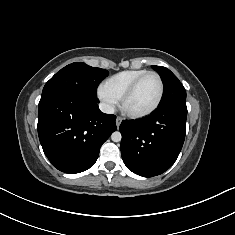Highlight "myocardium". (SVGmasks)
Listing matches in <instances>:
<instances>
[{"mask_svg": "<svg viewBox=\"0 0 235 235\" xmlns=\"http://www.w3.org/2000/svg\"><path fill=\"white\" fill-rule=\"evenodd\" d=\"M149 75H154L157 77L158 81H159V95L158 98L156 100V102L147 110L144 111H130L127 109L126 107V102L127 100L133 95V93L135 92L136 88L138 87V85L140 84V82L147 76ZM164 82L162 77L155 71H147L146 73L142 74L141 76H139L138 78H136L131 85L127 88V90L124 92V94L121 97V108L122 110L130 117L133 118H141V117H145L148 116L150 114H152L161 104L163 96H164Z\"/></svg>", "mask_w": 235, "mask_h": 235, "instance_id": "obj_1", "label": "myocardium"}]
</instances>
